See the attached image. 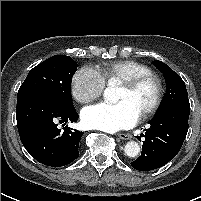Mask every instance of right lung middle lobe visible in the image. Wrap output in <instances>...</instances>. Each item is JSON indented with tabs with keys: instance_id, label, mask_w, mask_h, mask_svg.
<instances>
[{
	"instance_id": "dd1d6c3e",
	"label": "right lung middle lobe",
	"mask_w": 201,
	"mask_h": 201,
	"mask_svg": "<svg viewBox=\"0 0 201 201\" xmlns=\"http://www.w3.org/2000/svg\"><path fill=\"white\" fill-rule=\"evenodd\" d=\"M77 67V63L69 56L50 57L30 70L18 91L17 101L31 95L43 94L72 107L70 85Z\"/></svg>"
}]
</instances>
